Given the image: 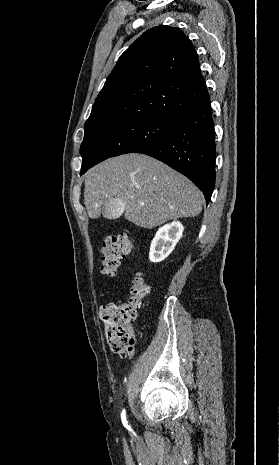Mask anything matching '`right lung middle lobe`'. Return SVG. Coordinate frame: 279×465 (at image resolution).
I'll return each mask as SVG.
<instances>
[{
  "label": "right lung middle lobe",
  "mask_w": 279,
  "mask_h": 465,
  "mask_svg": "<svg viewBox=\"0 0 279 465\" xmlns=\"http://www.w3.org/2000/svg\"><path fill=\"white\" fill-rule=\"evenodd\" d=\"M173 125L170 119L135 117L85 129L80 174L109 157L141 152L163 138Z\"/></svg>",
  "instance_id": "obj_1"
}]
</instances>
